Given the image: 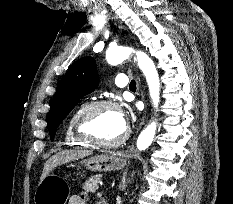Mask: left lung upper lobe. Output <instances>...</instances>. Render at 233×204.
I'll return each instance as SVG.
<instances>
[{
  "label": "left lung upper lobe",
  "instance_id": "obj_1",
  "mask_svg": "<svg viewBox=\"0 0 233 204\" xmlns=\"http://www.w3.org/2000/svg\"><path fill=\"white\" fill-rule=\"evenodd\" d=\"M98 83L96 62L92 57H83L70 66L58 84L49 111L48 129L51 141L64 118L81 98L95 90Z\"/></svg>",
  "mask_w": 233,
  "mask_h": 204
}]
</instances>
